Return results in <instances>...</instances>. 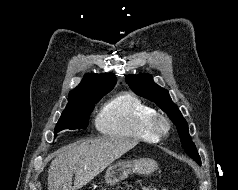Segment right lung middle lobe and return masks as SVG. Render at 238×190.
<instances>
[{
    "label": "right lung middle lobe",
    "instance_id": "dd1d6c3e",
    "mask_svg": "<svg viewBox=\"0 0 238 190\" xmlns=\"http://www.w3.org/2000/svg\"><path fill=\"white\" fill-rule=\"evenodd\" d=\"M106 93L81 98L78 103L66 106L55 127V134L64 129H85L95 104Z\"/></svg>",
    "mask_w": 238,
    "mask_h": 190
}]
</instances>
